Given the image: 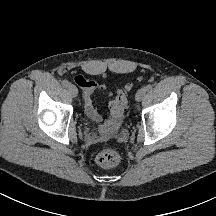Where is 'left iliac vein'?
Here are the masks:
<instances>
[{
  "label": "left iliac vein",
  "mask_w": 216,
  "mask_h": 216,
  "mask_svg": "<svg viewBox=\"0 0 216 216\" xmlns=\"http://www.w3.org/2000/svg\"><path fill=\"white\" fill-rule=\"evenodd\" d=\"M145 94H146V89L145 88L139 89L137 91V93H136V100L138 102L142 101V99L144 98Z\"/></svg>",
  "instance_id": "obj_1"
}]
</instances>
